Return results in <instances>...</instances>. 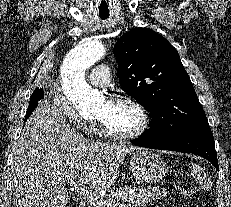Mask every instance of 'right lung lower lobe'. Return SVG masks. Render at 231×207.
I'll list each match as a JSON object with an SVG mask.
<instances>
[{"label": "right lung lower lobe", "mask_w": 231, "mask_h": 207, "mask_svg": "<svg viewBox=\"0 0 231 207\" xmlns=\"http://www.w3.org/2000/svg\"><path fill=\"white\" fill-rule=\"evenodd\" d=\"M44 97V93L43 96H39L36 99L32 100L33 97H31L30 102H29V107L27 109V113H26V117H25V121L29 118V116L31 115V113L34 111V109L36 108L37 104H38V100L42 99Z\"/></svg>", "instance_id": "right-lung-lower-lobe-1"}]
</instances>
